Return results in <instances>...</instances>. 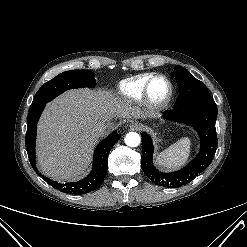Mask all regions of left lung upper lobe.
Returning a JSON list of instances; mask_svg holds the SVG:
<instances>
[{"label":"left lung upper lobe","mask_w":247,"mask_h":247,"mask_svg":"<svg viewBox=\"0 0 247 247\" xmlns=\"http://www.w3.org/2000/svg\"><path fill=\"white\" fill-rule=\"evenodd\" d=\"M175 77L179 86L180 95L177 108L198 101L213 100L205 84L197 80L183 67H176Z\"/></svg>","instance_id":"1"}]
</instances>
